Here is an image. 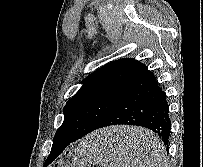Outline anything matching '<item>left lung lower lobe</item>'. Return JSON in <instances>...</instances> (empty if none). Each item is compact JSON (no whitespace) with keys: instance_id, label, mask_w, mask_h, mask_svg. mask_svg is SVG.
<instances>
[{"instance_id":"left-lung-lower-lobe-1","label":"left lung lower lobe","mask_w":203,"mask_h":167,"mask_svg":"<svg viewBox=\"0 0 203 167\" xmlns=\"http://www.w3.org/2000/svg\"><path fill=\"white\" fill-rule=\"evenodd\" d=\"M120 124L141 126L152 130L167 146L168 151L171 130L169 105L166 94L146 66L138 73L98 128ZM82 137L81 135L63 137L54 141L48 162L53 161L70 143Z\"/></svg>"}]
</instances>
